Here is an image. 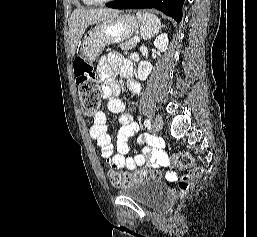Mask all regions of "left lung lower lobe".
Here are the masks:
<instances>
[{
	"label": "left lung lower lobe",
	"instance_id": "left-lung-lower-lobe-1",
	"mask_svg": "<svg viewBox=\"0 0 257 237\" xmlns=\"http://www.w3.org/2000/svg\"><path fill=\"white\" fill-rule=\"evenodd\" d=\"M106 6L114 9L154 8L180 22L182 19L183 0H117L107 3Z\"/></svg>",
	"mask_w": 257,
	"mask_h": 237
}]
</instances>
